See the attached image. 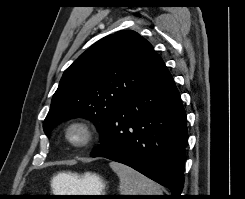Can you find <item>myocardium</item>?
Segmentation results:
<instances>
[{
    "label": "myocardium",
    "mask_w": 245,
    "mask_h": 199,
    "mask_svg": "<svg viewBox=\"0 0 245 199\" xmlns=\"http://www.w3.org/2000/svg\"><path fill=\"white\" fill-rule=\"evenodd\" d=\"M74 128H79L84 133V138L80 142H75L70 137V132ZM64 136L69 145L75 148L88 147L95 138V129L93 125L84 119H74L67 123L64 129Z\"/></svg>",
    "instance_id": "obj_1"
}]
</instances>
